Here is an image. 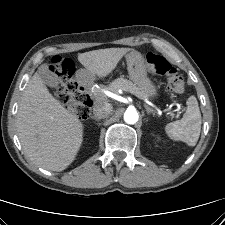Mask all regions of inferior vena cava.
Here are the masks:
<instances>
[{
	"mask_svg": "<svg viewBox=\"0 0 225 225\" xmlns=\"http://www.w3.org/2000/svg\"><path fill=\"white\" fill-rule=\"evenodd\" d=\"M112 105L110 103H98L93 108V114L96 118L102 119L107 117L112 112Z\"/></svg>",
	"mask_w": 225,
	"mask_h": 225,
	"instance_id": "inferior-vena-cava-1",
	"label": "inferior vena cava"
}]
</instances>
